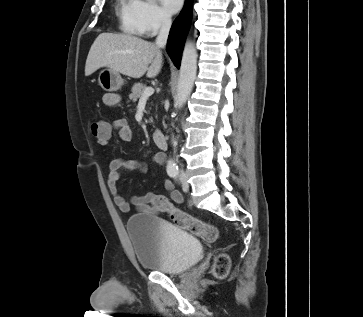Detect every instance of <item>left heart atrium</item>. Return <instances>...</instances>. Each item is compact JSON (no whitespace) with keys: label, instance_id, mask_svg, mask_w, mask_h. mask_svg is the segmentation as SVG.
Instances as JSON below:
<instances>
[{"label":"left heart atrium","instance_id":"1","mask_svg":"<svg viewBox=\"0 0 363 317\" xmlns=\"http://www.w3.org/2000/svg\"><path fill=\"white\" fill-rule=\"evenodd\" d=\"M161 2L165 11L173 14L181 8L183 0H161Z\"/></svg>","mask_w":363,"mask_h":317}]
</instances>
